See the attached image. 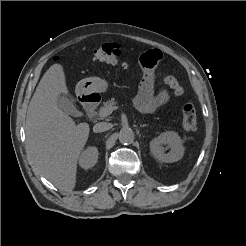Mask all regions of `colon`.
<instances>
[{"instance_id":"colon-1","label":"colon","mask_w":246,"mask_h":246,"mask_svg":"<svg viewBox=\"0 0 246 246\" xmlns=\"http://www.w3.org/2000/svg\"><path fill=\"white\" fill-rule=\"evenodd\" d=\"M93 60L97 63L112 65L121 64L123 63V51L115 43L103 44L94 51ZM165 82L174 89L177 95H181L183 93L182 87L172 75L166 76ZM181 124L183 129L186 131H192L195 129L197 124V113L196 108L192 103H187L183 106Z\"/></svg>"}]
</instances>
